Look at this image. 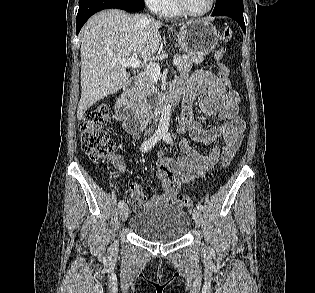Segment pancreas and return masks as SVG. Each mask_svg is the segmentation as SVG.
Here are the masks:
<instances>
[{"label":"pancreas","instance_id":"pancreas-1","mask_svg":"<svg viewBox=\"0 0 315 293\" xmlns=\"http://www.w3.org/2000/svg\"><path fill=\"white\" fill-rule=\"evenodd\" d=\"M178 58L181 59V62L177 65L179 77L181 79H188L193 60L190 57L185 56H179ZM152 94H159V92L155 86L153 76L148 72L139 79L133 89L132 96L129 98V101L136 109L141 112H146L149 109L147 100Z\"/></svg>","mask_w":315,"mask_h":293}]
</instances>
